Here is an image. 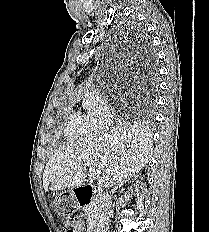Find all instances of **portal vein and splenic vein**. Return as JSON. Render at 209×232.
Returning <instances> with one entry per match:
<instances>
[{
    "label": "portal vein and splenic vein",
    "instance_id": "obj_1",
    "mask_svg": "<svg viewBox=\"0 0 209 232\" xmlns=\"http://www.w3.org/2000/svg\"><path fill=\"white\" fill-rule=\"evenodd\" d=\"M88 172L91 176L98 178L99 174L97 173L96 169L93 167H89Z\"/></svg>",
    "mask_w": 209,
    "mask_h": 232
}]
</instances>
